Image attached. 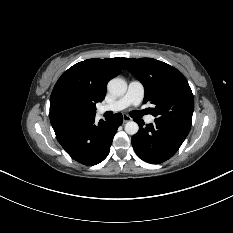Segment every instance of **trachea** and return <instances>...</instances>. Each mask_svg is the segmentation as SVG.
Wrapping results in <instances>:
<instances>
[{
	"label": "trachea",
	"instance_id": "3493384b",
	"mask_svg": "<svg viewBox=\"0 0 233 233\" xmlns=\"http://www.w3.org/2000/svg\"><path fill=\"white\" fill-rule=\"evenodd\" d=\"M143 114H144L143 111H133V112H131V116L132 117H137V118L141 117Z\"/></svg>",
	"mask_w": 233,
	"mask_h": 233
}]
</instances>
